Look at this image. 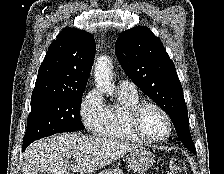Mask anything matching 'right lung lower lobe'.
I'll list each match as a JSON object with an SVG mask.
<instances>
[{
    "label": "right lung lower lobe",
    "instance_id": "obj_1",
    "mask_svg": "<svg viewBox=\"0 0 224 174\" xmlns=\"http://www.w3.org/2000/svg\"><path fill=\"white\" fill-rule=\"evenodd\" d=\"M29 144H23V150L28 146Z\"/></svg>",
    "mask_w": 224,
    "mask_h": 174
}]
</instances>
